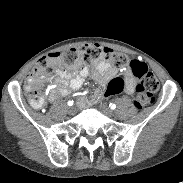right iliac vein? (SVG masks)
Returning a JSON list of instances; mask_svg holds the SVG:
<instances>
[{
	"instance_id": "obj_1",
	"label": "right iliac vein",
	"mask_w": 183,
	"mask_h": 183,
	"mask_svg": "<svg viewBox=\"0 0 183 183\" xmlns=\"http://www.w3.org/2000/svg\"><path fill=\"white\" fill-rule=\"evenodd\" d=\"M69 112L70 113H74L75 112V108L74 107L69 108Z\"/></svg>"
}]
</instances>
